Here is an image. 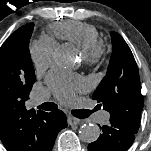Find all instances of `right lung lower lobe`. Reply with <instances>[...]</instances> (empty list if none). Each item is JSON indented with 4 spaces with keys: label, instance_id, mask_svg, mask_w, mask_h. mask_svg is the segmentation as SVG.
I'll list each match as a JSON object with an SVG mask.
<instances>
[{
    "label": "right lung lower lobe",
    "instance_id": "obj_1",
    "mask_svg": "<svg viewBox=\"0 0 151 151\" xmlns=\"http://www.w3.org/2000/svg\"><path fill=\"white\" fill-rule=\"evenodd\" d=\"M67 126L66 116L60 111L48 113L47 116V135L49 137V147L47 151H51L57 134Z\"/></svg>",
    "mask_w": 151,
    "mask_h": 151
}]
</instances>
